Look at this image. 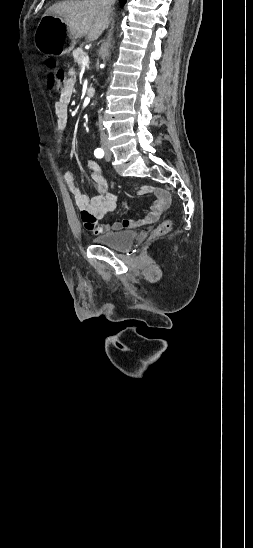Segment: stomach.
<instances>
[{"instance_id": "1", "label": "stomach", "mask_w": 253, "mask_h": 548, "mask_svg": "<svg viewBox=\"0 0 253 548\" xmlns=\"http://www.w3.org/2000/svg\"><path fill=\"white\" fill-rule=\"evenodd\" d=\"M34 43L41 53L63 56L73 50L76 41L59 17L47 15L42 17L37 26Z\"/></svg>"}]
</instances>
